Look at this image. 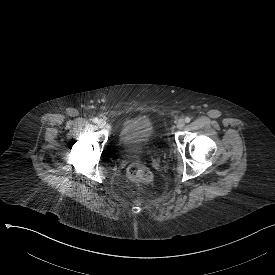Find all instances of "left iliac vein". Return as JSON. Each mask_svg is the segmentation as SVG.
Wrapping results in <instances>:
<instances>
[{"mask_svg":"<svg viewBox=\"0 0 275 275\" xmlns=\"http://www.w3.org/2000/svg\"><path fill=\"white\" fill-rule=\"evenodd\" d=\"M184 126H185L184 120L179 119V121L177 122V129L182 130Z\"/></svg>","mask_w":275,"mask_h":275,"instance_id":"4c4485c4","label":"left iliac vein"}]
</instances>
